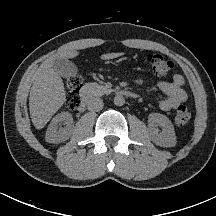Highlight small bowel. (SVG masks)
<instances>
[{
	"mask_svg": "<svg viewBox=\"0 0 216 216\" xmlns=\"http://www.w3.org/2000/svg\"><path fill=\"white\" fill-rule=\"evenodd\" d=\"M185 81L183 76L176 74L171 81H160L159 89L165 97L159 102V107L163 111H170L187 101V93L183 89Z\"/></svg>",
	"mask_w": 216,
	"mask_h": 216,
	"instance_id": "1",
	"label": "small bowel"
}]
</instances>
